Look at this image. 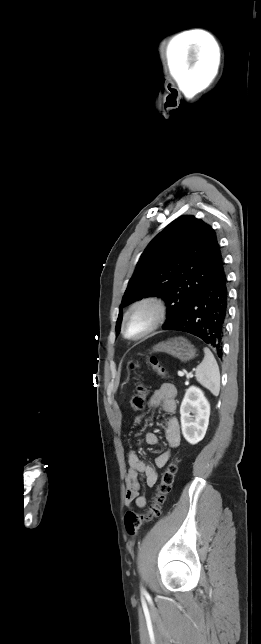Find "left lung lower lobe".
I'll return each instance as SVG.
<instances>
[{"instance_id": "obj_1", "label": "left lung lower lobe", "mask_w": 261, "mask_h": 644, "mask_svg": "<svg viewBox=\"0 0 261 644\" xmlns=\"http://www.w3.org/2000/svg\"><path fill=\"white\" fill-rule=\"evenodd\" d=\"M227 282L222 259L183 313L163 329L193 334L210 344L221 356L228 307Z\"/></svg>"}]
</instances>
